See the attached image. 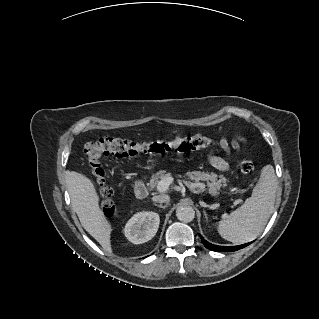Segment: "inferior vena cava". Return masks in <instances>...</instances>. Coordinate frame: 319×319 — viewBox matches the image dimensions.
I'll list each match as a JSON object with an SVG mask.
<instances>
[{"label": "inferior vena cava", "instance_id": "inferior-vena-cava-1", "mask_svg": "<svg viewBox=\"0 0 319 319\" xmlns=\"http://www.w3.org/2000/svg\"><path fill=\"white\" fill-rule=\"evenodd\" d=\"M152 201L156 203H168L170 201V197L167 194H161V195L154 196L152 198Z\"/></svg>", "mask_w": 319, "mask_h": 319}]
</instances>
